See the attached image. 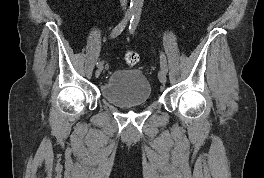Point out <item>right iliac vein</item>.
Listing matches in <instances>:
<instances>
[{
  "instance_id": "63e3f726",
  "label": "right iliac vein",
  "mask_w": 264,
  "mask_h": 178,
  "mask_svg": "<svg viewBox=\"0 0 264 178\" xmlns=\"http://www.w3.org/2000/svg\"><path fill=\"white\" fill-rule=\"evenodd\" d=\"M102 70H103V66H102V67H99V68L96 70V72H95V76H96V77H99V75L101 74Z\"/></svg>"
}]
</instances>
